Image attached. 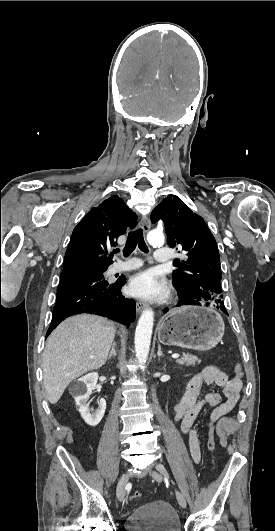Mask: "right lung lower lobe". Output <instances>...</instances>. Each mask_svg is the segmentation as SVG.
<instances>
[{"instance_id":"98d812e1","label":"right lung lower lobe","mask_w":275,"mask_h":531,"mask_svg":"<svg viewBox=\"0 0 275 531\" xmlns=\"http://www.w3.org/2000/svg\"><path fill=\"white\" fill-rule=\"evenodd\" d=\"M124 284L125 277L111 283L89 269L64 270L46 337L62 320L80 313L101 315L128 326L135 320V301L121 293Z\"/></svg>"}]
</instances>
